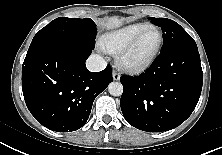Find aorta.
I'll return each mask as SVG.
<instances>
[{
    "mask_svg": "<svg viewBox=\"0 0 222 155\" xmlns=\"http://www.w3.org/2000/svg\"><path fill=\"white\" fill-rule=\"evenodd\" d=\"M108 91L112 96H121L123 93V85L120 82H111Z\"/></svg>",
    "mask_w": 222,
    "mask_h": 155,
    "instance_id": "aorta-1",
    "label": "aorta"
}]
</instances>
